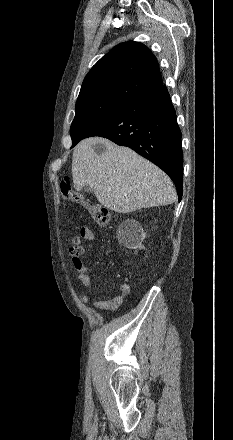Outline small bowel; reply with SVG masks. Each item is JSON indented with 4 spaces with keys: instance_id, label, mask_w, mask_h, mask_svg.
Wrapping results in <instances>:
<instances>
[{
    "instance_id": "obj_1",
    "label": "small bowel",
    "mask_w": 233,
    "mask_h": 440,
    "mask_svg": "<svg viewBox=\"0 0 233 440\" xmlns=\"http://www.w3.org/2000/svg\"><path fill=\"white\" fill-rule=\"evenodd\" d=\"M93 239V231L88 227H84L80 230L79 235L73 239L72 245L69 248L70 254L72 255V264L78 273L77 278L87 288L91 287V277L88 268L82 263L80 259V257L85 253V248L82 245V240L91 241ZM129 291L130 288L127 284H121L115 296L108 299L96 301L93 305L94 309L111 311L118 309L124 301V298L128 295ZM80 299L83 303L87 302V298L84 295H81Z\"/></svg>"
}]
</instances>
